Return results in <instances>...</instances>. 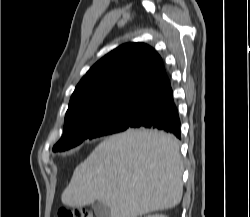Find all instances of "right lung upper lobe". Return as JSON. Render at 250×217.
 <instances>
[{
    "instance_id": "obj_1",
    "label": "right lung upper lobe",
    "mask_w": 250,
    "mask_h": 217,
    "mask_svg": "<svg viewBox=\"0 0 250 217\" xmlns=\"http://www.w3.org/2000/svg\"><path fill=\"white\" fill-rule=\"evenodd\" d=\"M169 82L159 54L144 43H127L96 64L76 86L65 121L116 104L140 102Z\"/></svg>"
}]
</instances>
